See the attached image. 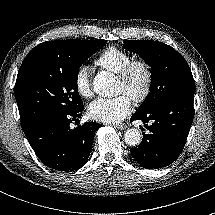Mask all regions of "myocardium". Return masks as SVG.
Returning a JSON list of instances; mask_svg holds the SVG:
<instances>
[{"instance_id": "1", "label": "myocardium", "mask_w": 215, "mask_h": 215, "mask_svg": "<svg viewBox=\"0 0 215 215\" xmlns=\"http://www.w3.org/2000/svg\"><path fill=\"white\" fill-rule=\"evenodd\" d=\"M136 69H140L143 72L144 84L141 92L138 95L132 96L131 99L136 104H142L148 99L153 88L154 75L150 63L143 58H133L117 73V78L127 82Z\"/></svg>"}]
</instances>
